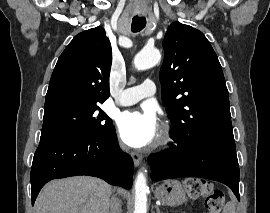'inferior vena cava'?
<instances>
[{"mask_svg":"<svg viewBox=\"0 0 270 213\" xmlns=\"http://www.w3.org/2000/svg\"><path fill=\"white\" fill-rule=\"evenodd\" d=\"M110 205H111L110 213H121V205L116 198L111 199Z\"/></svg>","mask_w":270,"mask_h":213,"instance_id":"inferior-vena-cava-1","label":"inferior vena cava"}]
</instances>
